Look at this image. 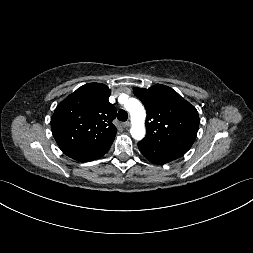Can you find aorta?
Instances as JSON below:
<instances>
[{"label": "aorta", "mask_w": 253, "mask_h": 253, "mask_svg": "<svg viewBox=\"0 0 253 253\" xmlns=\"http://www.w3.org/2000/svg\"><path fill=\"white\" fill-rule=\"evenodd\" d=\"M125 108L131 115L132 126L130 133L132 137L136 140L143 139L146 133L144 125L146 112L143 105L139 100L130 98L126 101Z\"/></svg>", "instance_id": "aorta-1"}]
</instances>
